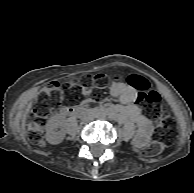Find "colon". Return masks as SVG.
Here are the masks:
<instances>
[{
    "label": "colon",
    "mask_w": 194,
    "mask_h": 193,
    "mask_svg": "<svg viewBox=\"0 0 194 193\" xmlns=\"http://www.w3.org/2000/svg\"><path fill=\"white\" fill-rule=\"evenodd\" d=\"M128 84L139 88L142 85V81L138 77L132 76L128 79ZM106 85L107 80L104 74L86 77L82 79L81 83L69 84L65 86L67 96L65 102L72 103L81 100L98 101L102 98ZM136 101L144 108L149 118L157 120L158 126L157 138L142 149L141 153L146 157L157 156L163 151L164 145L173 141L176 136L173 120L163 114L162 98L156 91L140 89ZM62 102L61 85L58 82L50 83L44 89L27 124V135L32 143L39 146L44 145L43 128L45 121Z\"/></svg>",
    "instance_id": "5ec220e1"
}]
</instances>
